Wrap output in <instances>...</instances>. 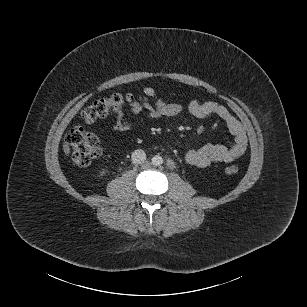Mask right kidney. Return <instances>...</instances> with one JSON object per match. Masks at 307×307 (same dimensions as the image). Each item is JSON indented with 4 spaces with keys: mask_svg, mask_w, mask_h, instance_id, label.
Segmentation results:
<instances>
[{
    "mask_svg": "<svg viewBox=\"0 0 307 307\" xmlns=\"http://www.w3.org/2000/svg\"><path fill=\"white\" fill-rule=\"evenodd\" d=\"M107 169H101L98 171V178L103 179V177L106 175Z\"/></svg>",
    "mask_w": 307,
    "mask_h": 307,
    "instance_id": "obj_1",
    "label": "right kidney"
}]
</instances>
